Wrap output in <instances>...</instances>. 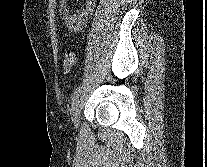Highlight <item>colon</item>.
<instances>
[{
	"label": "colon",
	"instance_id": "1",
	"mask_svg": "<svg viewBox=\"0 0 207 167\" xmlns=\"http://www.w3.org/2000/svg\"><path fill=\"white\" fill-rule=\"evenodd\" d=\"M77 56L75 52L68 51L65 55V59L63 61V71L65 74H68L76 65Z\"/></svg>",
	"mask_w": 207,
	"mask_h": 167
}]
</instances>
